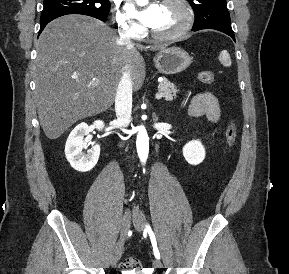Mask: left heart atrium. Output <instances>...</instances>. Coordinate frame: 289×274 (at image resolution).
I'll use <instances>...</instances> for the list:
<instances>
[{
	"label": "left heart atrium",
	"instance_id": "left-heart-atrium-1",
	"mask_svg": "<svg viewBox=\"0 0 289 274\" xmlns=\"http://www.w3.org/2000/svg\"><path fill=\"white\" fill-rule=\"evenodd\" d=\"M127 10L131 15L138 18L143 24L151 27L157 17L159 4L156 2L150 3L148 6L141 10H137L132 3L127 5Z\"/></svg>",
	"mask_w": 289,
	"mask_h": 274
}]
</instances>
